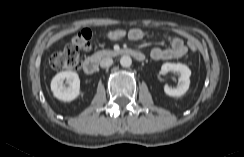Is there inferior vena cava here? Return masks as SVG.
<instances>
[{
  "instance_id": "inferior-vena-cava-1",
  "label": "inferior vena cava",
  "mask_w": 244,
  "mask_h": 157,
  "mask_svg": "<svg viewBox=\"0 0 244 157\" xmlns=\"http://www.w3.org/2000/svg\"><path fill=\"white\" fill-rule=\"evenodd\" d=\"M113 64V60L111 57H105L100 61V66L102 68H108Z\"/></svg>"
}]
</instances>
